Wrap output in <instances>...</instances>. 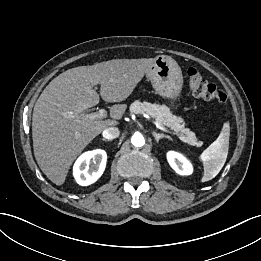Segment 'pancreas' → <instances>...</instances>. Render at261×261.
Segmentation results:
<instances>
[{
  "instance_id": "cf45deb5",
  "label": "pancreas",
  "mask_w": 261,
  "mask_h": 261,
  "mask_svg": "<svg viewBox=\"0 0 261 261\" xmlns=\"http://www.w3.org/2000/svg\"><path fill=\"white\" fill-rule=\"evenodd\" d=\"M130 112L150 115L157 122L164 124L178 133L180 140L189 145L197 147L203 145L202 141L197 140L195 133L185 128L182 118L173 115L170 109L164 105L135 101L130 106Z\"/></svg>"
}]
</instances>
